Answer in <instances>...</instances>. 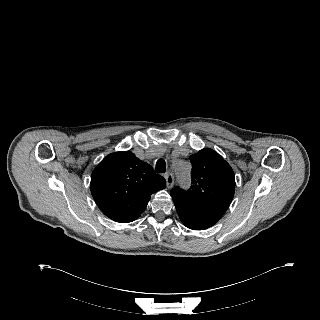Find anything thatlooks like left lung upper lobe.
Listing matches in <instances>:
<instances>
[{
	"instance_id": "5c2ea615",
	"label": "left lung upper lobe",
	"mask_w": 320,
	"mask_h": 320,
	"mask_svg": "<svg viewBox=\"0 0 320 320\" xmlns=\"http://www.w3.org/2000/svg\"><path fill=\"white\" fill-rule=\"evenodd\" d=\"M192 185L188 191L175 187L173 200L224 214L235 191V176L230 165L214 150L205 148L190 156Z\"/></svg>"
}]
</instances>
